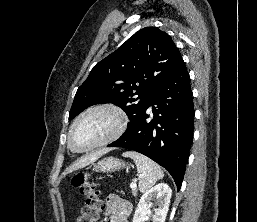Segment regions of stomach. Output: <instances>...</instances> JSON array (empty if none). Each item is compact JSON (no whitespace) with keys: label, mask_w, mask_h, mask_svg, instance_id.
Listing matches in <instances>:
<instances>
[{"label":"stomach","mask_w":257,"mask_h":222,"mask_svg":"<svg viewBox=\"0 0 257 222\" xmlns=\"http://www.w3.org/2000/svg\"><path fill=\"white\" fill-rule=\"evenodd\" d=\"M125 167V163L121 161L120 159L114 158V157H107L102 159L97 163V165L94 166L93 170L97 172H112L119 170L121 168ZM127 168H129L127 166Z\"/></svg>","instance_id":"stomach-1"}]
</instances>
